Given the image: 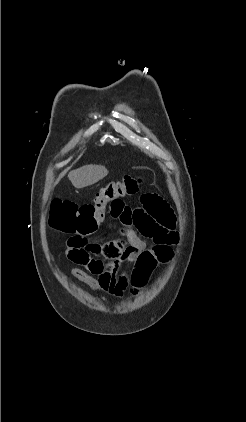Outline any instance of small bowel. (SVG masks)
I'll list each match as a JSON object with an SVG mask.
<instances>
[{"mask_svg": "<svg viewBox=\"0 0 246 422\" xmlns=\"http://www.w3.org/2000/svg\"><path fill=\"white\" fill-rule=\"evenodd\" d=\"M112 219L122 225V240L103 242L74 235L67 242L66 256L76 266L69 274L89 286L95 292H104L122 298L131 286V272L136 256L144 251L160 247L171 251L177 243L176 218L167 202L157 194H145L142 206L110 210ZM151 239L149 247L138 235Z\"/></svg>", "mask_w": 246, "mask_h": 422, "instance_id": "c3829d8e", "label": "small bowel"}]
</instances>
